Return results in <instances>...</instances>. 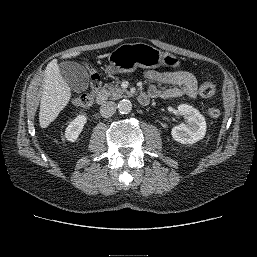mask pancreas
Listing matches in <instances>:
<instances>
[{"label": "pancreas", "mask_w": 257, "mask_h": 257, "mask_svg": "<svg viewBox=\"0 0 257 257\" xmlns=\"http://www.w3.org/2000/svg\"><path fill=\"white\" fill-rule=\"evenodd\" d=\"M118 84L119 82L117 81L111 85H108L102 90V92H104L107 96L111 97L114 100L122 98L124 96V93L129 94L126 89L119 88Z\"/></svg>", "instance_id": "obj_1"}]
</instances>
